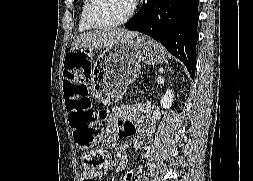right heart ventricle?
Returning <instances> with one entry per match:
<instances>
[{"label": "right heart ventricle", "instance_id": "obj_1", "mask_svg": "<svg viewBox=\"0 0 253 181\" xmlns=\"http://www.w3.org/2000/svg\"><path fill=\"white\" fill-rule=\"evenodd\" d=\"M87 4H88V0H82L80 17H79V25H78V29L81 32H87V31H91L93 29H96V28L90 26L86 21L85 10H86Z\"/></svg>", "mask_w": 253, "mask_h": 181}]
</instances>
